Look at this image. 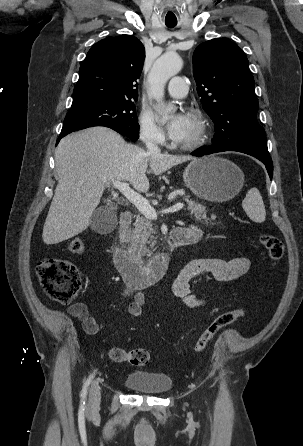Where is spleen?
Returning <instances> with one entry per match:
<instances>
[{
	"label": "spleen",
	"instance_id": "spleen-1",
	"mask_svg": "<svg viewBox=\"0 0 303 446\" xmlns=\"http://www.w3.org/2000/svg\"><path fill=\"white\" fill-rule=\"evenodd\" d=\"M242 207L248 217L257 223H262L266 218L265 206L262 196L257 188H251L242 202Z\"/></svg>",
	"mask_w": 303,
	"mask_h": 446
}]
</instances>
